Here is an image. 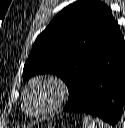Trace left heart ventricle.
<instances>
[{"instance_id": "left-heart-ventricle-1", "label": "left heart ventricle", "mask_w": 125, "mask_h": 128, "mask_svg": "<svg viewBox=\"0 0 125 128\" xmlns=\"http://www.w3.org/2000/svg\"><path fill=\"white\" fill-rule=\"evenodd\" d=\"M50 99L48 91L44 87H37L28 97V104L32 109L45 106Z\"/></svg>"}]
</instances>
